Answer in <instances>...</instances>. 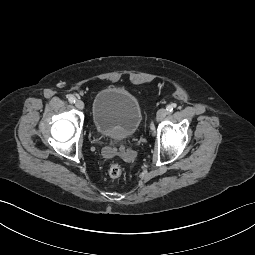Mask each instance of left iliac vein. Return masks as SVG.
<instances>
[{"mask_svg":"<svg viewBox=\"0 0 255 255\" xmlns=\"http://www.w3.org/2000/svg\"><path fill=\"white\" fill-rule=\"evenodd\" d=\"M168 112L166 109L161 108L158 110L157 112V120H162L163 118H165L167 116Z\"/></svg>","mask_w":255,"mask_h":255,"instance_id":"1","label":"left iliac vein"}]
</instances>
